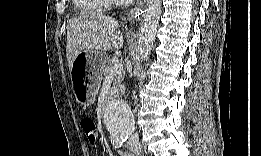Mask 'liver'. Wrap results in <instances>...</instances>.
<instances>
[{"mask_svg": "<svg viewBox=\"0 0 261 156\" xmlns=\"http://www.w3.org/2000/svg\"><path fill=\"white\" fill-rule=\"evenodd\" d=\"M124 36L118 22L104 15H86L72 18L67 26L66 57L70 71L75 58L86 53H102L121 49Z\"/></svg>", "mask_w": 261, "mask_h": 156, "instance_id": "6515ba94", "label": "liver"}]
</instances>
